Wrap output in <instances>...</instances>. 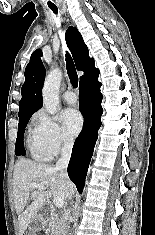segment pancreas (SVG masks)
Listing matches in <instances>:
<instances>
[{
    "instance_id": "1",
    "label": "pancreas",
    "mask_w": 155,
    "mask_h": 235,
    "mask_svg": "<svg viewBox=\"0 0 155 235\" xmlns=\"http://www.w3.org/2000/svg\"><path fill=\"white\" fill-rule=\"evenodd\" d=\"M48 226L50 227L53 235H63L64 220L59 217L55 211H52L48 219Z\"/></svg>"
}]
</instances>
